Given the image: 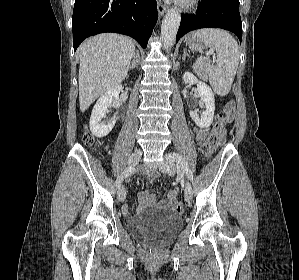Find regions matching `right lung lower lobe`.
<instances>
[{"instance_id":"right-lung-lower-lobe-1","label":"right lung lower lobe","mask_w":299,"mask_h":280,"mask_svg":"<svg viewBox=\"0 0 299 280\" xmlns=\"http://www.w3.org/2000/svg\"><path fill=\"white\" fill-rule=\"evenodd\" d=\"M157 18L155 0H75L74 50L85 38L104 32L128 35L146 48Z\"/></svg>"}]
</instances>
